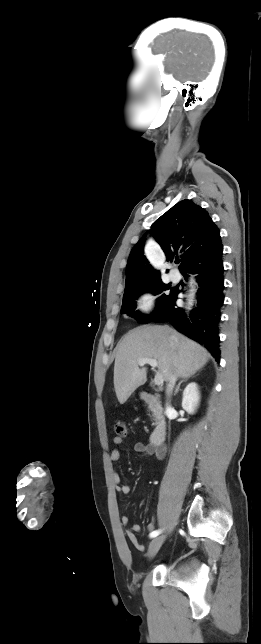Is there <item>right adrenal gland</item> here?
I'll return each mask as SVG.
<instances>
[{"mask_svg": "<svg viewBox=\"0 0 261 644\" xmlns=\"http://www.w3.org/2000/svg\"><path fill=\"white\" fill-rule=\"evenodd\" d=\"M191 377H195V374H192V375H189V376H185V377H183V379H182V380L179 382V384L177 385V387H176V389H175V393H174V394H177V393H178V391H179L180 385H181L183 382L187 381V380H188L189 378H191Z\"/></svg>", "mask_w": 261, "mask_h": 644, "instance_id": "right-adrenal-gland-1", "label": "right adrenal gland"}]
</instances>
